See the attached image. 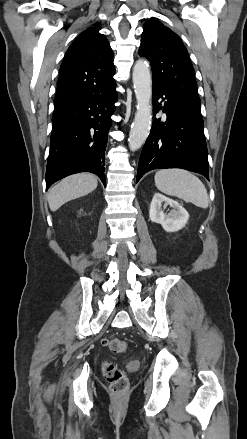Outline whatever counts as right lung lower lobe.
I'll use <instances>...</instances> for the list:
<instances>
[{
	"label": "right lung lower lobe",
	"instance_id": "98d812e1",
	"mask_svg": "<svg viewBox=\"0 0 247 439\" xmlns=\"http://www.w3.org/2000/svg\"><path fill=\"white\" fill-rule=\"evenodd\" d=\"M116 100L115 84L103 93L79 98L54 110L46 190L79 172H92L106 185L105 149Z\"/></svg>",
	"mask_w": 247,
	"mask_h": 439
}]
</instances>
